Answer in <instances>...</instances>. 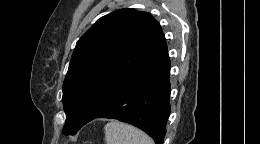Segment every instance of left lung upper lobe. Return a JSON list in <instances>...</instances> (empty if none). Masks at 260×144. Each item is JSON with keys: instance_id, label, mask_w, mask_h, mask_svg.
Returning <instances> with one entry per match:
<instances>
[{"instance_id": "obj_1", "label": "left lung upper lobe", "mask_w": 260, "mask_h": 144, "mask_svg": "<svg viewBox=\"0 0 260 144\" xmlns=\"http://www.w3.org/2000/svg\"><path fill=\"white\" fill-rule=\"evenodd\" d=\"M166 48L160 24L147 12L127 8L98 19L76 43L63 83L64 134L93 120L134 69ZM157 66L169 81L170 60Z\"/></svg>"}]
</instances>
